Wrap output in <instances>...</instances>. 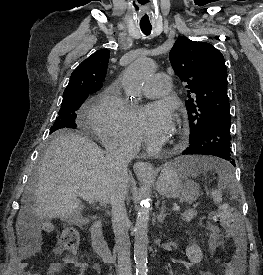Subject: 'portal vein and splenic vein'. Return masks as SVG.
I'll return each instance as SVG.
<instances>
[{"label":"portal vein and splenic vein","instance_id":"18ae733b","mask_svg":"<svg viewBox=\"0 0 263 275\" xmlns=\"http://www.w3.org/2000/svg\"><path fill=\"white\" fill-rule=\"evenodd\" d=\"M78 195L81 196L84 200L88 201L89 203H93L94 202V198L92 196H89L88 194H86L85 192L79 191ZM173 211H179L180 207L179 206H174L172 208Z\"/></svg>","mask_w":263,"mask_h":275}]
</instances>
